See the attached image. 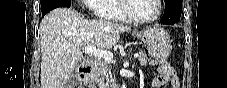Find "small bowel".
<instances>
[{"label":"small bowel","mask_w":227,"mask_h":88,"mask_svg":"<svg viewBox=\"0 0 227 88\" xmlns=\"http://www.w3.org/2000/svg\"><path fill=\"white\" fill-rule=\"evenodd\" d=\"M159 75L152 80L151 87L160 88L164 86L169 79H171V85L173 88L179 87V80L175 76L174 71L167 65H161L158 68Z\"/></svg>","instance_id":"obj_1"}]
</instances>
